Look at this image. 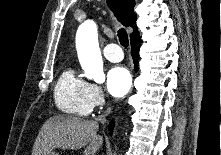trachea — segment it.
<instances>
[{"instance_id": "obj_1", "label": "trachea", "mask_w": 221, "mask_h": 155, "mask_svg": "<svg viewBox=\"0 0 221 155\" xmlns=\"http://www.w3.org/2000/svg\"><path fill=\"white\" fill-rule=\"evenodd\" d=\"M118 37H119L120 44L124 47H128L129 40H128V35L125 29L123 28L119 29Z\"/></svg>"}]
</instances>
